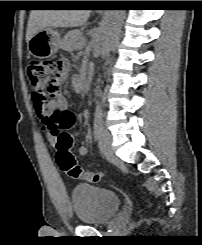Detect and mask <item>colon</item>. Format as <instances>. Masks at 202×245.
I'll return each instance as SVG.
<instances>
[{"mask_svg":"<svg viewBox=\"0 0 202 245\" xmlns=\"http://www.w3.org/2000/svg\"><path fill=\"white\" fill-rule=\"evenodd\" d=\"M67 73L61 60H32L28 64L27 75L35 94L34 108L37 113L45 114L46 128L56 138L54 156L59 169L73 179L97 183L103 175L84 169L72 153L75 139L68 130L75 124L76 116L70 111L49 110L50 104L61 94Z\"/></svg>","mask_w":202,"mask_h":245,"instance_id":"5ec220e1","label":"colon"}]
</instances>
